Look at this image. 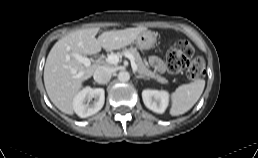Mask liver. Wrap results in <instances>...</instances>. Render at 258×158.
I'll return each mask as SVG.
<instances>
[{
    "instance_id": "6515ba94",
    "label": "liver",
    "mask_w": 258,
    "mask_h": 158,
    "mask_svg": "<svg viewBox=\"0 0 258 158\" xmlns=\"http://www.w3.org/2000/svg\"><path fill=\"white\" fill-rule=\"evenodd\" d=\"M145 27L106 31L98 38L99 28L80 29L58 40L50 50L44 67V84L51 102L63 113L73 114V99L95 70L75 59L74 54L82 56L96 54L101 48L116 50L130 45Z\"/></svg>"
}]
</instances>
